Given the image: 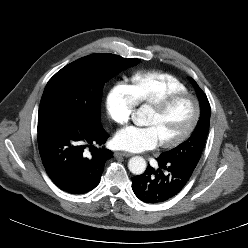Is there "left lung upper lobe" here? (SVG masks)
I'll return each mask as SVG.
<instances>
[{
  "mask_svg": "<svg viewBox=\"0 0 248 248\" xmlns=\"http://www.w3.org/2000/svg\"><path fill=\"white\" fill-rule=\"evenodd\" d=\"M193 84L200 98L202 110L201 118L191 137L187 141L178 145L176 148L162 153L159 156L161 159L175 162L194 161L197 163L200 160L209 131L211 109L206 95L195 81H193Z\"/></svg>",
  "mask_w": 248,
  "mask_h": 248,
  "instance_id": "1",
  "label": "left lung upper lobe"
}]
</instances>
